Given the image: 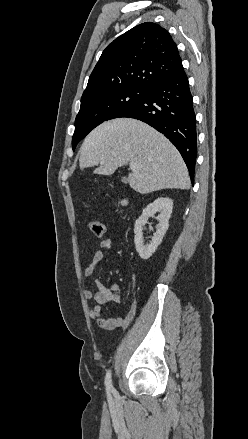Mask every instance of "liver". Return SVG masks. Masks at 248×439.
Instances as JSON below:
<instances>
[{
	"mask_svg": "<svg viewBox=\"0 0 248 439\" xmlns=\"http://www.w3.org/2000/svg\"><path fill=\"white\" fill-rule=\"evenodd\" d=\"M80 168L111 175L118 167L137 163L129 173L130 187L140 194L162 189H189L187 167L178 150L161 133L136 119L116 118L96 127L80 149Z\"/></svg>",
	"mask_w": 248,
	"mask_h": 439,
	"instance_id": "1",
	"label": "liver"
}]
</instances>
